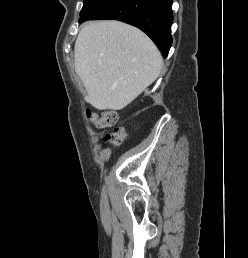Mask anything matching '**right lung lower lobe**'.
Masks as SVG:
<instances>
[{
	"mask_svg": "<svg viewBox=\"0 0 248 258\" xmlns=\"http://www.w3.org/2000/svg\"><path fill=\"white\" fill-rule=\"evenodd\" d=\"M91 19H114L136 26L152 39L164 58L168 55L172 44V0H115Z\"/></svg>",
	"mask_w": 248,
	"mask_h": 258,
	"instance_id": "1",
	"label": "right lung lower lobe"
}]
</instances>
